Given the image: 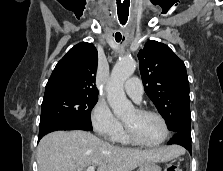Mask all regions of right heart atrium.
Wrapping results in <instances>:
<instances>
[{
	"label": "right heart atrium",
	"instance_id": "right-heart-atrium-1",
	"mask_svg": "<svg viewBox=\"0 0 223 171\" xmlns=\"http://www.w3.org/2000/svg\"><path fill=\"white\" fill-rule=\"evenodd\" d=\"M91 124L97 135L114 141L122 130L121 123L104 101H98L91 111Z\"/></svg>",
	"mask_w": 223,
	"mask_h": 171
}]
</instances>
